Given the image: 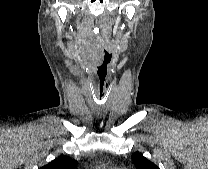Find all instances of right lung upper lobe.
Masks as SVG:
<instances>
[{"label":"right lung upper lobe","instance_id":"obj_1","mask_svg":"<svg viewBox=\"0 0 208 169\" xmlns=\"http://www.w3.org/2000/svg\"><path fill=\"white\" fill-rule=\"evenodd\" d=\"M77 161L69 158L65 155H60L47 165H44L40 169H75Z\"/></svg>","mask_w":208,"mask_h":169}]
</instances>
